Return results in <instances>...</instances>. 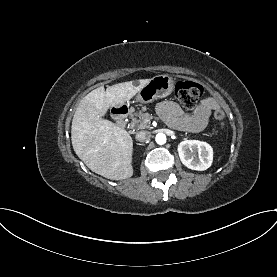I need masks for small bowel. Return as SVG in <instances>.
<instances>
[{"label":"small bowel","mask_w":277,"mask_h":277,"mask_svg":"<svg viewBox=\"0 0 277 277\" xmlns=\"http://www.w3.org/2000/svg\"><path fill=\"white\" fill-rule=\"evenodd\" d=\"M220 107L214 98H205L193 113H186L181 106L174 101H163L157 106L160 117L170 127L178 130L199 132L209 123L211 112Z\"/></svg>","instance_id":"small-bowel-1"}]
</instances>
